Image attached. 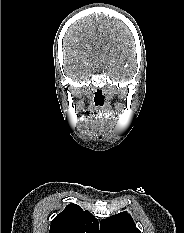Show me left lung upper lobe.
<instances>
[{
	"label": "left lung upper lobe",
	"instance_id": "left-lung-upper-lobe-1",
	"mask_svg": "<svg viewBox=\"0 0 184 233\" xmlns=\"http://www.w3.org/2000/svg\"><path fill=\"white\" fill-rule=\"evenodd\" d=\"M100 233H141L132 217L127 212H122L100 222Z\"/></svg>",
	"mask_w": 184,
	"mask_h": 233
}]
</instances>
